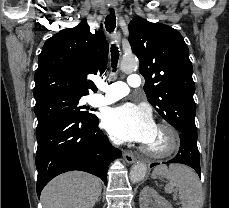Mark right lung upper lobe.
Segmentation results:
<instances>
[{"mask_svg":"<svg viewBox=\"0 0 229 208\" xmlns=\"http://www.w3.org/2000/svg\"><path fill=\"white\" fill-rule=\"evenodd\" d=\"M108 62V42L102 31L90 32L86 19L49 38L35 73L36 101L54 95L85 96L97 88L88 74H102Z\"/></svg>","mask_w":229,"mask_h":208,"instance_id":"1","label":"right lung upper lobe"}]
</instances>
